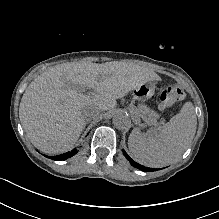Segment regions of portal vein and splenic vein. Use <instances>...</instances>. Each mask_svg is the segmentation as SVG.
Segmentation results:
<instances>
[{"mask_svg":"<svg viewBox=\"0 0 219 219\" xmlns=\"http://www.w3.org/2000/svg\"><path fill=\"white\" fill-rule=\"evenodd\" d=\"M79 89V87H75V90H78Z\"/></svg>","mask_w":219,"mask_h":219,"instance_id":"1","label":"portal vein and splenic vein"}]
</instances>
